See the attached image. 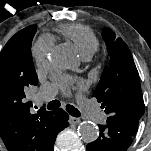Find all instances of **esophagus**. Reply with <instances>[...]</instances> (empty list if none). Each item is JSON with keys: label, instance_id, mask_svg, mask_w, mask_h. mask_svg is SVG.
I'll list each match as a JSON object with an SVG mask.
<instances>
[{"label": "esophagus", "instance_id": "esophagus-1", "mask_svg": "<svg viewBox=\"0 0 151 151\" xmlns=\"http://www.w3.org/2000/svg\"><path fill=\"white\" fill-rule=\"evenodd\" d=\"M79 122H80L79 118L70 116V118H69V123L70 124H78Z\"/></svg>", "mask_w": 151, "mask_h": 151}]
</instances>
